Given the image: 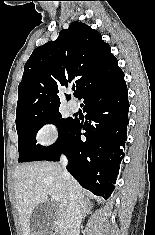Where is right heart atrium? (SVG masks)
I'll use <instances>...</instances> for the list:
<instances>
[{"mask_svg": "<svg viewBox=\"0 0 155 235\" xmlns=\"http://www.w3.org/2000/svg\"><path fill=\"white\" fill-rule=\"evenodd\" d=\"M58 128L54 123L47 122L42 124L36 132V140L43 146L53 144L58 138Z\"/></svg>", "mask_w": 155, "mask_h": 235, "instance_id": "d8ad5b80", "label": "right heart atrium"}]
</instances>
